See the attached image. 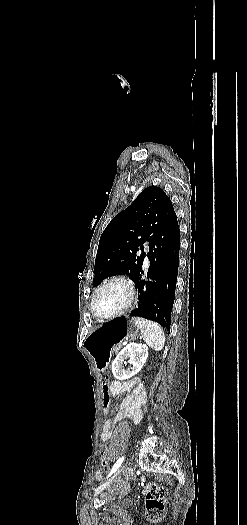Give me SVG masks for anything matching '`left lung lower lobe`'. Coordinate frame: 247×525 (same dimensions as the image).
Returning a JSON list of instances; mask_svg holds the SVG:
<instances>
[{"mask_svg":"<svg viewBox=\"0 0 247 525\" xmlns=\"http://www.w3.org/2000/svg\"><path fill=\"white\" fill-rule=\"evenodd\" d=\"M180 231L174 213L149 243L147 254L151 263L147 272L150 281L142 280L141 269L134 280L138 289V306L130 314L153 320L170 330L179 266Z\"/></svg>","mask_w":247,"mask_h":525,"instance_id":"1","label":"left lung lower lobe"}]
</instances>
